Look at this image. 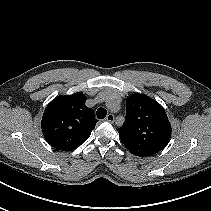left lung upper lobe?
<instances>
[{
	"label": "left lung upper lobe",
	"instance_id": "left-lung-upper-lobe-1",
	"mask_svg": "<svg viewBox=\"0 0 211 211\" xmlns=\"http://www.w3.org/2000/svg\"><path fill=\"white\" fill-rule=\"evenodd\" d=\"M126 107V120L118 132L127 149L140 157L164 149L172 130L164 108L155 100L139 93L127 98Z\"/></svg>",
	"mask_w": 211,
	"mask_h": 211
}]
</instances>
